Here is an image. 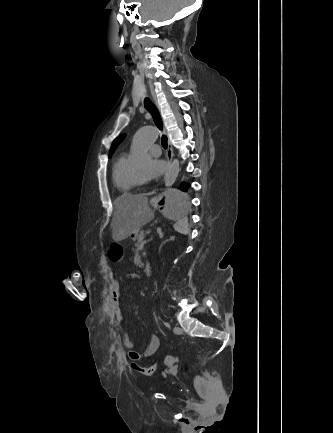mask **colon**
Here are the masks:
<instances>
[{
  "label": "colon",
  "instance_id": "colon-1",
  "mask_svg": "<svg viewBox=\"0 0 333 433\" xmlns=\"http://www.w3.org/2000/svg\"><path fill=\"white\" fill-rule=\"evenodd\" d=\"M108 252L110 255V263L112 265H119L121 263V258H123L125 252L124 244H109ZM163 364L168 366L169 368H176L178 364V357L174 355H165L162 358ZM157 364L154 363L149 366H141V365H132V368L145 376H150L156 371ZM194 384L196 390L200 394L201 397L205 398L207 396V381L202 376H196L194 379Z\"/></svg>",
  "mask_w": 333,
  "mask_h": 433
}]
</instances>
